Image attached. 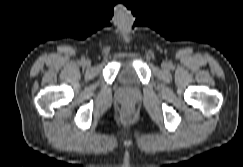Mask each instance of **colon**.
<instances>
[{
    "label": "colon",
    "instance_id": "5ec220e1",
    "mask_svg": "<svg viewBox=\"0 0 243 167\" xmlns=\"http://www.w3.org/2000/svg\"><path fill=\"white\" fill-rule=\"evenodd\" d=\"M124 113L128 116V115L131 114V110H130V109H126V110L124 111Z\"/></svg>",
    "mask_w": 243,
    "mask_h": 167
}]
</instances>
